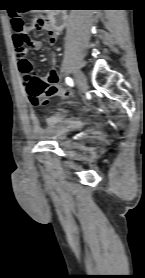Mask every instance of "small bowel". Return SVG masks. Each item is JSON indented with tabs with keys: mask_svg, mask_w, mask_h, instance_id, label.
Returning a JSON list of instances; mask_svg holds the SVG:
<instances>
[{
	"mask_svg": "<svg viewBox=\"0 0 145 278\" xmlns=\"http://www.w3.org/2000/svg\"><path fill=\"white\" fill-rule=\"evenodd\" d=\"M46 33L43 41L30 38V43L27 45L17 44L14 38L15 46L19 49L31 48L33 50H40L45 44H54L57 40V32L51 30L46 26L43 29H38ZM34 64L32 60L27 57L17 56V70L21 83L24 87L26 96L31 100V93L37 94L38 103L36 105H43L50 97L56 95H66V92L57 85V74L55 71V61L51 62L50 68L45 76L36 77L33 75ZM33 103V102H32ZM34 104V103H33ZM31 132L34 136L38 137L42 134V127L38 120L33 117L30 119Z\"/></svg>",
	"mask_w": 145,
	"mask_h": 278,
	"instance_id": "small-bowel-1",
	"label": "small bowel"
}]
</instances>
